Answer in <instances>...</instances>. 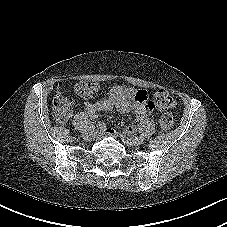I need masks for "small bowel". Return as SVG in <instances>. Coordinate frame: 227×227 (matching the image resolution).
<instances>
[{"mask_svg": "<svg viewBox=\"0 0 227 227\" xmlns=\"http://www.w3.org/2000/svg\"><path fill=\"white\" fill-rule=\"evenodd\" d=\"M113 108L122 113L133 111L139 119H144L154 111L155 105L148 99L144 91H137L125 86H114L106 98L84 104L85 111L91 117ZM135 129L134 126H131L128 131L133 132ZM109 133L113 134L114 132L110 131Z\"/></svg>", "mask_w": 227, "mask_h": 227, "instance_id": "c3829d8e", "label": "small bowel"}]
</instances>
